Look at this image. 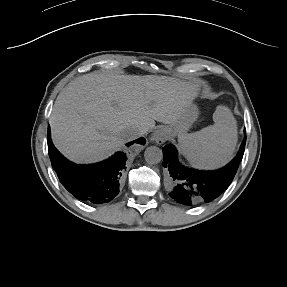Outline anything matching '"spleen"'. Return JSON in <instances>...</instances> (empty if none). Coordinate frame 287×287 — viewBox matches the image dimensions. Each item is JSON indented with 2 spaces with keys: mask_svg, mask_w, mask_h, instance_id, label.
<instances>
[{
  "mask_svg": "<svg viewBox=\"0 0 287 287\" xmlns=\"http://www.w3.org/2000/svg\"><path fill=\"white\" fill-rule=\"evenodd\" d=\"M213 125L178 136L183 156L194 167L213 170L226 165L234 156L238 141L237 122L231 110L218 106Z\"/></svg>",
  "mask_w": 287,
  "mask_h": 287,
  "instance_id": "obj_1",
  "label": "spleen"
}]
</instances>
